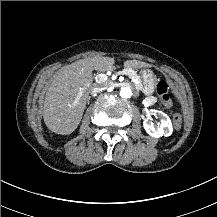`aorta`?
Returning <instances> with one entry per match:
<instances>
[{"label": "aorta", "mask_w": 217, "mask_h": 217, "mask_svg": "<svg viewBox=\"0 0 217 217\" xmlns=\"http://www.w3.org/2000/svg\"><path fill=\"white\" fill-rule=\"evenodd\" d=\"M132 95V91L129 87H122L119 91V96L121 98L127 99L130 98Z\"/></svg>", "instance_id": "1"}]
</instances>
